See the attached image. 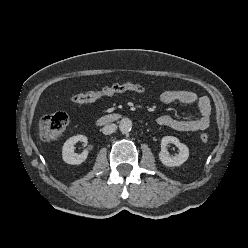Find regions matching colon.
<instances>
[{"label": "colon", "instance_id": "1", "mask_svg": "<svg viewBox=\"0 0 248 248\" xmlns=\"http://www.w3.org/2000/svg\"><path fill=\"white\" fill-rule=\"evenodd\" d=\"M144 87L138 83L123 82L114 83L95 90L75 93L72 101L77 104L93 103L103 99L111 98L124 92H143ZM68 125V117L63 112L43 116L39 121L40 137L45 141L58 139ZM200 140L203 143L208 141V134L202 133Z\"/></svg>", "mask_w": 248, "mask_h": 248}]
</instances>
